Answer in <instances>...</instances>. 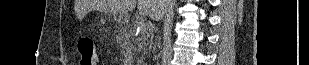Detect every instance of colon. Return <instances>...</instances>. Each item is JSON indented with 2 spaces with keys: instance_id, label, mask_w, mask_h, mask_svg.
I'll return each instance as SVG.
<instances>
[{
  "instance_id": "colon-1",
  "label": "colon",
  "mask_w": 309,
  "mask_h": 65,
  "mask_svg": "<svg viewBox=\"0 0 309 65\" xmlns=\"http://www.w3.org/2000/svg\"><path fill=\"white\" fill-rule=\"evenodd\" d=\"M80 54V65H97L98 56L96 54L93 40L90 37H82L78 42Z\"/></svg>"
}]
</instances>
